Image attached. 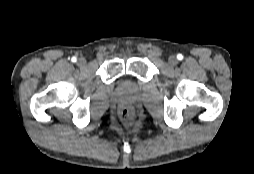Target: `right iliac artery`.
Returning <instances> with one entry per match:
<instances>
[{"instance_id":"right-iliac-artery-1","label":"right iliac artery","mask_w":254,"mask_h":174,"mask_svg":"<svg viewBox=\"0 0 254 174\" xmlns=\"http://www.w3.org/2000/svg\"><path fill=\"white\" fill-rule=\"evenodd\" d=\"M76 60H77L76 57H72L71 59L72 62H76Z\"/></svg>"}]
</instances>
